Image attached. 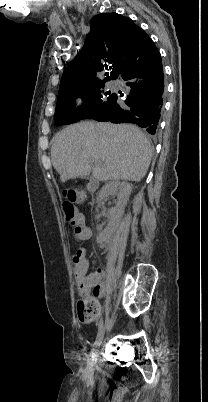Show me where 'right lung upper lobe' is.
Listing matches in <instances>:
<instances>
[{"label": "right lung upper lobe", "instance_id": "right-lung-upper-lobe-1", "mask_svg": "<svg viewBox=\"0 0 208 402\" xmlns=\"http://www.w3.org/2000/svg\"><path fill=\"white\" fill-rule=\"evenodd\" d=\"M90 25L83 49L63 72L59 92L100 80L97 74L108 65L112 71L105 79L117 78L124 59L145 34L130 18L117 13L98 14Z\"/></svg>", "mask_w": 208, "mask_h": 402}]
</instances>
